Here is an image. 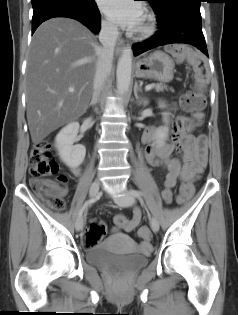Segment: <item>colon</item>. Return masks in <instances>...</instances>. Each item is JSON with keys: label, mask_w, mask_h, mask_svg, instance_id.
<instances>
[{"label": "colon", "mask_w": 238, "mask_h": 315, "mask_svg": "<svg viewBox=\"0 0 238 315\" xmlns=\"http://www.w3.org/2000/svg\"><path fill=\"white\" fill-rule=\"evenodd\" d=\"M169 53L178 62L187 61L194 68L195 78L198 90L190 91L184 94L181 98L182 105L195 113V118L200 121L202 118L201 110L205 106V97L201 90L206 85L208 77V65L206 60L197 52L188 47L181 45L168 46ZM30 186L31 188L55 210H62L65 207L63 199V191L66 188V178L63 175L57 176L55 179H46L45 177L57 175L59 168L54 160L53 148L49 140H42L38 142L31 151L30 156ZM194 192L192 184L182 185L180 188L178 203H184L191 198ZM128 223V218L123 215L115 217V224L118 227L124 228ZM105 224L95 219L90 222L87 233L86 242L88 246H93L98 243L104 233ZM139 236L142 239H150V230L148 227L143 226L139 229Z\"/></svg>", "instance_id": "1"}]
</instances>
